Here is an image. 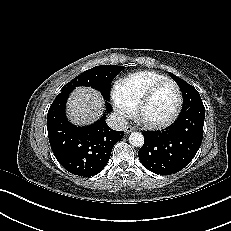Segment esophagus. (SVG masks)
Wrapping results in <instances>:
<instances>
[{
  "instance_id": "esophagus-1",
  "label": "esophagus",
  "mask_w": 231,
  "mask_h": 231,
  "mask_svg": "<svg viewBox=\"0 0 231 231\" xmlns=\"http://www.w3.org/2000/svg\"><path fill=\"white\" fill-rule=\"evenodd\" d=\"M134 130H135V128L133 126H127L126 129H125V133L129 134L130 132H132Z\"/></svg>"
}]
</instances>
